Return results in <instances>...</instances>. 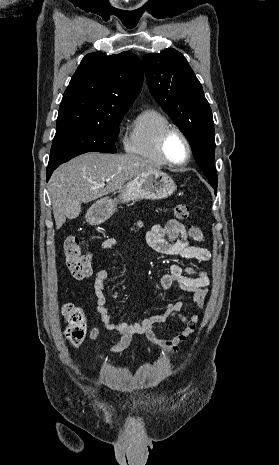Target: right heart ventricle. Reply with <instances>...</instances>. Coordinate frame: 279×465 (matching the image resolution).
Here are the masks:
<instances>
[{
    "instance_id": "1",
    "label": "right heart ventricle",
    "mask_w": 279,
    "mask_h": 465,
    "mask_svg": "<svg viewBox=\"0 0 279 465\" xmlns=\"http://www.w3.org/2000/svg\"><path fill=\"white\" fill-rule=\"evenodd\" d=\"M171 126L169 119L156 108L142 110L132 121L124 147L127 153L156 164L165 165L158 150L160 134Z\"/></svg>"
}]
</instances>
